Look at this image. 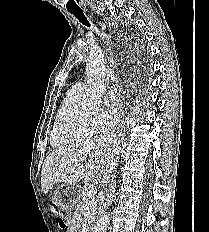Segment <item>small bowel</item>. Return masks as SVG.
<instances>
[{"label":"small bowel","mask_w":209,"mask_h":232,"mask_svg":"<svg viewBox=\"0 0 209 232\" xmlns=\"http://www.w3.org/2000/svg\"><path fill=\"white\" fill-rule=\"evenodd\" d=\"M81 228V217L79 214H76L73 219L70 221L67 232H79Z\"/></svg>","instance_id":"1"}]
</instances>
